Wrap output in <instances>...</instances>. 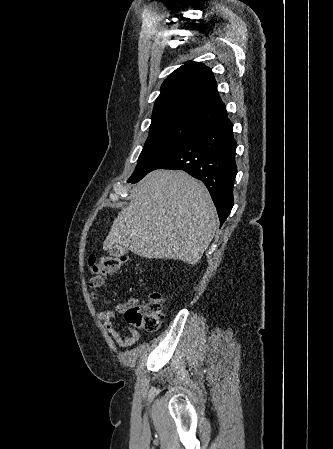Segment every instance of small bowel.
<instances>
[{
  "label": "small bowel",
  "mask_w": 333,
  "mask_h": 449,
  "mask_svg": "<svg viewBox=\"0 0 333 449\" xmlns=\"http://www.w3.org/2000/svg\"><path fill=\"white\" fill-rule=\"evenodd\" d=\"M105 277L102 274H95L89 280V290L92 300L99 306L100 305V290L104 284ZM136 301L131 299L127 302L119 303L116 307L117 311L123 313L127 306ZM98 319L107 327L110 336L113 341L120 347H129L135 344L140 337L139 332L136 329H131L129 334L122 335L113 325L114 315L104 309L99 308L97 311Z\"/></svg>",
  "instance_id": "obj_1"
}]
</instances>
